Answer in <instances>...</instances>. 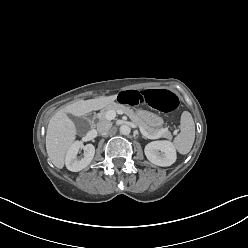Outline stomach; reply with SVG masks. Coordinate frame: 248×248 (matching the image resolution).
<instances>
[{
  "label": "stomach",
  "instance_id": "obj_1",
  "mask_svg": "<svg viewBox=\"0 0 248 248\" xmlns=\"http://www.w3.org/2000/svg\"><path fill=\"white\" fill-rule=\"evenodd\" d=\"M136 114L149 126L151 127H160L163 124L162 118L158 115L145 111V110H138Z\"/></svg>",
  "mask_w": 248,
  "mask_h": 248
}]
</instances>
